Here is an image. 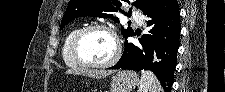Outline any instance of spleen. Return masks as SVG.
Here are the masks:
<instances>
[{"label":"spleen","mask_w":225,"mask_h":92,"mask_svg":"<svg viewBox=\"0 0 225 92\" xmlns=\"http://www.w3.org/2000/svg\"><path fill=\"white\" fill-rule=\"evenodd\" d=\"M138 92H163V88L152 72L142 71Z\"/></svg>","instance_id":"obj_1"}]
</instances>
